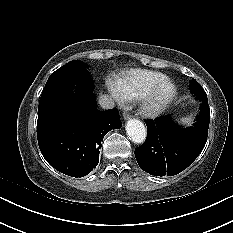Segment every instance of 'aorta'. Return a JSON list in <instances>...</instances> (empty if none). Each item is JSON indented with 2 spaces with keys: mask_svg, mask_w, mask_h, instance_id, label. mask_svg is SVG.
Returning a JSON list of instances; mask_svg holds the SVG:
<instances>
[{
  "mask_svg": "<svg viewBox=\"0 0 233 233\" xmlns=\"http://www.w3.org/2000/svg\"><path fill=\"white\" fill-rule=\"evenodd\" d=\"M126 133L130 140L136 144H141L146 139V128L138 119H130L126 123Z\"/></svg>",
  "mask_w": 233,
  "mask_h": 233,
  "instance_id": "762f6f07",
  "label": "aorta"
}]
</instances>
